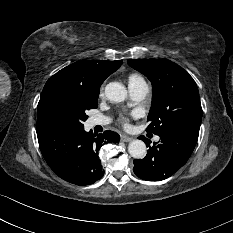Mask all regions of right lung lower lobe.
Segmentation results:
<instances>
[{
  "mask_svg": "<svg viewBox=\"0 0 233 233\" xmlns=\"http://www.w3.org/2000/svg\"><path fill=\"white\" fill-rule=\"evenodd\" d=\"M39 147L49 167L63 180L84 186L104 175L98 151L106 143H118L116 132L97 136L84 127L40 126L36 128Z\"/></svg>",
  "mask_w": 233,
  "mask_h": 233,
  "instance_id": "right-lung-lower-lobe-1",
  "label": "right lung lower lobe"
}]
</instances>
